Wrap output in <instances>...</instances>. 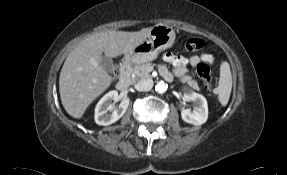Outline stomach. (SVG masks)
Wrapping results in <instances>:
<instances>
[{
    "label": "stomach",
    "instance_id": "obj_1",
    "mask_svg": "<svg viewBox=\"0 0 287 175\" xmlns=\"http://www.w3.org/2000/svg\"><path fill=\"white\" fill-rule=\"evenodd\" d=\"M176 38L172 27L157 24L152 27L146 40L125 54V60L131 64H142L154 60L159 52L170 48Z\"/></svg>",
    "mask_w": 287,
    "mask_h": 175
}]
</instances>
